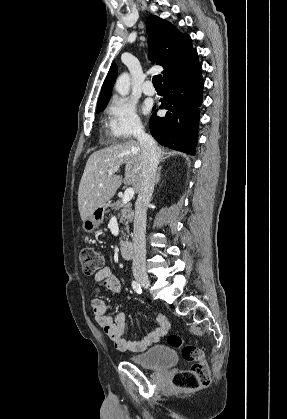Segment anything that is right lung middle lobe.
Instances as JSON below:
<instances>
[{
    "label": "right lung middle lobe",
    "mask_w": 287,
    "mask_h": 419,
    "mask_svg": "<svg viewBox=\"0 0 287 419\" xmlns=\"http://www.w3.org/2000/svg\"><path fill=\"white\" fill-rule=\"evenodd\" d=\"M104 108H105V106L98 107V108H97V113L101 112Z\"/></svg>",
    "instance_id": "right-lung-middle-lobe-1"
}]
</instances>
